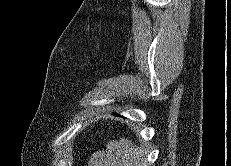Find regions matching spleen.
Masks as SVG:
<instances>
[{"instance_id":"obj_1","label":"spleen","mask_w":231,"mask_h":166,"mask_svg":"<svg viewBox=\"0 0 231 166\" xmlns=\"http://www.w3.org/2000/svg\"><path fill=\"white\" fill-rule=\"evenodd\" d=\"M147 153L134 145L130 140L120 138L110 141L106 151L95 153L90 161L91 166H147Z\"/></svg>"}]
</instances>
